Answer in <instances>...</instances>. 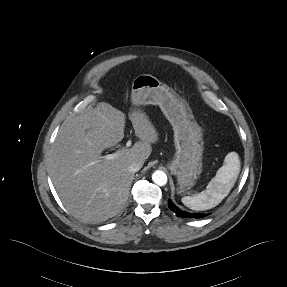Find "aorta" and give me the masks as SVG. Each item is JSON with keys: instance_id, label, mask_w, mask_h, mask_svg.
I'll return each mask as SVG.
<instances>
[{"instance_id": "762f6f07", "label": "aorta", "mask_w": 287, "mask_h": 287, "mask_svg": "<svg viewBox=\"0 0 287 287\" xmlns=\"http://www.w3.org/2000/svg\"><path fill=\"white\" fill-rule=\"evenodd\" d=\"M152 180L158 186H164L167 183V175L161 170H157L152 174Z\"/></svg>"}]
</instances>
